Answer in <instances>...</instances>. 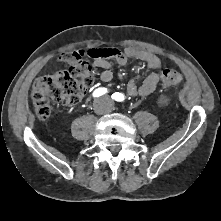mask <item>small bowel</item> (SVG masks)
<instances>
[{
    "label": "small bowel",
    "instance_id": "1",
    "mask_svg": "<svg viewBox=\"0 0 221 221\" xmlns=\"http://www.w3.org/2000/svg\"><path fill=\"white\" fill-rule=\"evenodd\" d=\"M108 53L104 56L93 57L95 68L101 69L100 79L103 82H110L113 79V64L124 66L131 58H136L144 63V71L150 72L141 84H137V77L132 78L126 87L127 94L131 97L147 96L153 93L161 79V73L158 71L161 67L160 59L145 50L127 47L124 51L116 48H104Z\"/></svg>",
    "mask_w": 221,
    "mask_h": 221
}]
</instances>
